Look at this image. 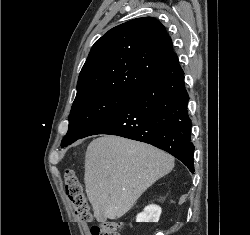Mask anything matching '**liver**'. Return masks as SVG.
<instances>
[{
	"mask_svg": "<svg viewBox=\"0 0 250 235\" xmlns=\"http://www.w3.org/2000/svg\"><path fill=\"white\" fill-rule=\"evenodd\" d=\"M173 167L172 156L149 144L111 135L94 139L85 155L84 182L95 218L122 217Z\"/></svg>",
	"mask_w": 250,
	"mask_h": 235,
	"instance_id": "6515ba94",
	"label": "liver"
}]
</instances>
